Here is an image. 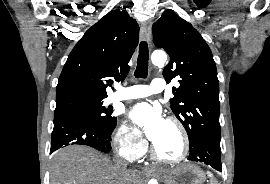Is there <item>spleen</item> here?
<instances>
[{
	"instance_id": "3e777b00",
	"label": "spleen",
	"mask_w": 270,
	"mask_h": 184,
	"mask_svg": "<svg viewBox=\"0 0 270 184\" xmlns=\"http://www.w3.org/2000/svg\"><path fill=\"white\" fill-rule=\"evenodd\" d=\"M210 184H218L215 180H211Z\"/></svg>"
}]
</instances>
